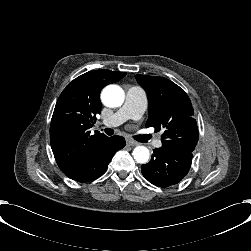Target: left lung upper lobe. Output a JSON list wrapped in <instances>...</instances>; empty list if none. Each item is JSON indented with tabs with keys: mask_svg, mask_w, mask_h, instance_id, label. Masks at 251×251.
Here are the masks:
<instances>
[{
	"mask_svg": "<svg viewBox=\"0 0 251 251\" xmlns=\"http://www.w3.org/2000/svg\"><path fill=\"white\" fill-rule=\"evenodd\" d=\"M149 98L146 127L162 131V147L193 152L198 141V127L190 99L183 89L169 79L135 75Z\"/></svg>",
	"mask_w": 251,
	"mask_h": 251,
	"instance_id": "left-lung-upper-lobe-1",
	"label": "left lung upper lobe"
}]
</instances>
